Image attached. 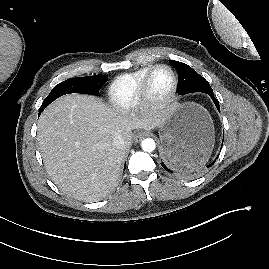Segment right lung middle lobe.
<instances>
[{
    "mask_svg": "<svg viewBox=\"0 0 269 269\" xmlns=\"http://www.w3.org/2000/svg\"><path fill=\"white\" fill-rule=\"evenodd\" d=\"M106 75H94L87 77L70 78L57 84L50 94L43 101L40 112H42L50 103L62 95L69 93H83L99 95L100 88L106 83ZM40 115V113H39Z\"/></svg>",
    "mask_w": 269,
    "mask_h": 269,
    "instance_id": "right-lung-middle-lobe-1",
    "label": "right lung middle lobe"
}]
</instances>
